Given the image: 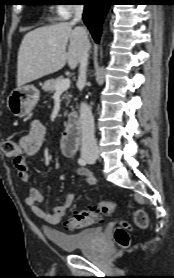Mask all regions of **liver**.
Here are the masks:
<instances>
[{"mask_svg": "<svg viewBox=\"0 0 174 278\" xmlns=\"http://www.w3.org/2000/svg\"><path fill=\"white\" fill-rule=\"evenodd\" d=\"M68 51H66L67 44ZM90 48L87 32L73 29L64 22L40 27L28 32L19 47L17 59V86L21 87L43 76L62 69L66 62L75 69L86 49Z\"/></svg>", "mask_w": 174, "mask_h": 278, "instance_id": "6515ba94", "label": "liver"}]
</instances>
